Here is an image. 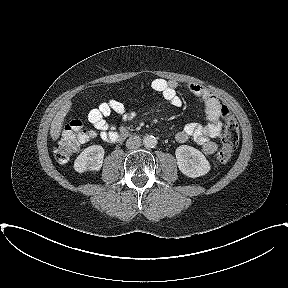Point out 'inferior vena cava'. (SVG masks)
<instances>
[{
    "label": "inferior vena cava",
    "instance_id": "obj_1",
    "mask_svg": "<svg viewBox=\"0 0 288 288\" xmlns=\"http://www.w3.org/2000/svg\"><path fill=\"white\" fill-rule=\"evenodd\" d=\"M141 145V138L137 136H131L126 141V147L128 149H136Z\"/></svg>",
    "mask_w": 288,
    "mask_h": 288
}]
</instances>
